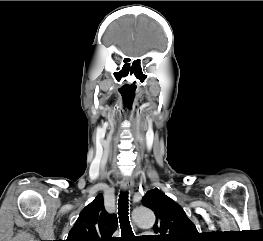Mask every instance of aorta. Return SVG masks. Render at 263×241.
Listing matches in <instances>:
<instances>
[{"label": "aorta", "instance_id": "obj_1", "mask_svg": "<svg viewBox=\"0 0 263 241\" xmlns=\"http://www.w3.org/2000/svg\"><path fill=\"white\" fill-rule=\"evenodd\" d=\"M133 218L138 225L144 227H152L155 223V215L153 211L144 206L134 209Z\"/></svg>", "mask_w": 263, "mask_h": 241}]
</instances>
